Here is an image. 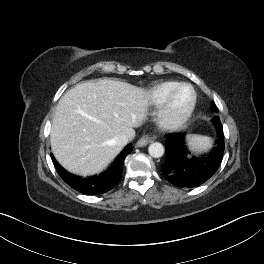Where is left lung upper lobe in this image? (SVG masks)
<instances>
[{
  "mask_svg": "<svg viewBox=\"0 0 264 264\" xmlns=\"http://www.w3.org/2000/svg\"><path fill=\"white\" fill-rule=\"evenodd\" d=\"M211 108H212L213 111H216V106H215L214 103H212ZM217 120H219V118H217V117L213 119V123H214L216 126H217V124H221L220 120H219V121H217Z\"/></svg>",
  "mask_w": 264,
  "mask_h": 264,
  "instance_id": "left-lung-upper-lobe-1",
  "label": "left lung upper lobe"
}]
</instances>
